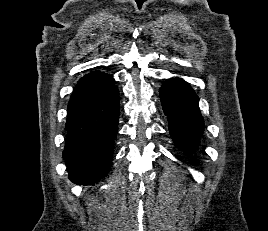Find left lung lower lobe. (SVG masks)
Segmentation results:
<instances>
[{
  "instance_id": "left-lung-lower-lobe-1",
  "label": "left lung lower lobe",
  "mask_w": 268,
  "mask_h": 231,
  "mask_svg": "<svg viewBox=\"0 0 268 231\" xmlns=\"http://www.w3.org/2000/svg\"><path fill=\"white\" fill-rule=\"evenodd\" d=\"M159 93L175 146L192 154L198 150L204 132L198 96L180 78L168 79Z\"/></svg>"
}]
</instances>
